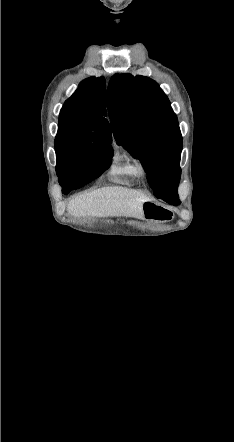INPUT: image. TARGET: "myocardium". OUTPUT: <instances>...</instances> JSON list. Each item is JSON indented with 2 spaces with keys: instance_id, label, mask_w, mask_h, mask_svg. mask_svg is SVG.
<instances>
[{
  "instance_id": "f54148a6",
  "label": "myocardium",
  "mask_w": 234,
  "mask_h": 442,
  "mask_svg": "<svg viewBox=\"0 0 234 442\" xmlns=\"http://www.w3.org/2000/svg\"><path fill=\"white\" fill-rule=\"evenodd\" d=\"M135 167L139 176H145L147 174V166L143 161L136 160Z\"/></svg>"
}]
</instances>
